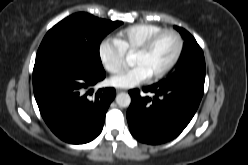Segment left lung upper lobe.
I'll use <instances>...</instances> for the list:
<instances>
[{
	"label": "left lung upper lobe",
	"mask_w": 248,
	"mask_h": 165,
	"mask_svg": "<svg viewBox=\"0 0 248 165\" xmlns=\"http://www.w3.org/2000/svg\"><path fill=\"white\" fill-rule=\"evenodd\" d=\"M174 28L180 32L185 40L184 49L177 68L163 80L177 79L195 71L205 72L204 54L195 38L181 27L174 26Z\"/></svg>",
	"instance_id": "5c2ea615"
}]
</instances>
